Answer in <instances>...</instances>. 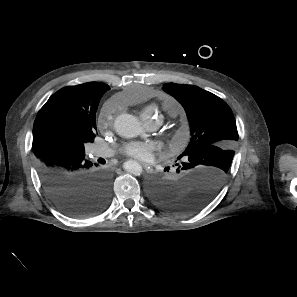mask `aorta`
Here are the masks:
<instances>
[{
  "label": "aorta",
  "instance_id": "1",
  "mask_svg": "<svg viewBox=\"0 0 297 297\" xmlns=\"http://www.w3.org/2000/svg\"><path fill=\"white\" fill-rule=\"evenodd\" d=\"M114 128L118 135L125 138H133L142 132L141 125L138 119L130 114H120L116 117ZM123 168L126 172L139 176L142 174V166L134 161L128 160L124 162Z\"/></svg>",
  "mask_w": 297,
  "mask_h": 297
}]
</instances>
